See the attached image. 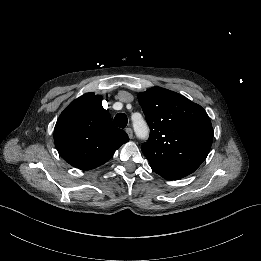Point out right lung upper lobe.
I'll use <instances>...</instances> for the list:
<instances>
[{
    "mask_svg": "<svg viewBox=\"0 0 261 261\" xmlns=\"http://www.w3.org/2000/svg\"><path fill=\"white\" fill-rule=\"evenodd\" d=\"M101 102L100 95H82L61 113L54 129L59 154L82 170L104 164L115 150L129 141L125 131L113 125Z\"/></svg>",
    "mask_w": 261,
    "mask_h": 261,
    "instance_id": "right-lung-upper-lobe-1",
    "label": "right lung upper lobe"
}]
</instances>
